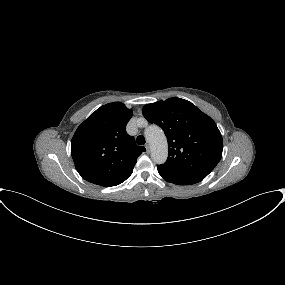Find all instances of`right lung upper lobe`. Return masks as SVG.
I'll use <instances>...</instances> for the list:
<instances>
[{"label":"right lung upper lobe","mask_w":285,"mask_h":285,"mask_svg":"<svg viewBox=\"0 0 285 285\" xmlns=\"http://www.w3.org/2000/svg\"><path fill=\"white\" fill-rule=\"evenodd\" d=\"M132 111L120 102L93 112L76 130L71 155L78 173L87 181L111 187L133 172L138 156L146 149L126 133Z\"/></svg>","instance_id":"right-lung-upper-lobe-1"}]
</instances>
